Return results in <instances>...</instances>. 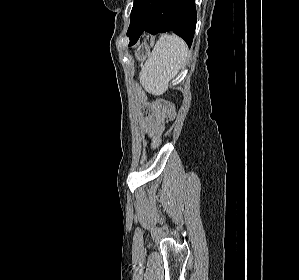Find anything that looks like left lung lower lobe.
I'll list each match as a JSON object with an SVG mask.
<instances>
[{
	"mask_svg": "<svg viewBox=\"0 0 299 280\" xmlns=\"http://www.w3.org/2000/svg\"><path fill=\"white\" fill-rule=\"evenodd\" d=\"M194 0H134L127 32L129 45L147 31L151 34L173 31L190 47L196 27Z\"/></svg>",
	"mask_w": 299,
	"mask_h": 280,
	"instance_id": "1",
	"label": "left lung lower lobe"
}]
</instances>
